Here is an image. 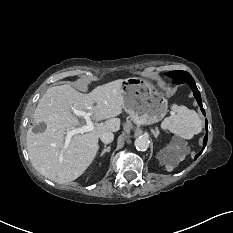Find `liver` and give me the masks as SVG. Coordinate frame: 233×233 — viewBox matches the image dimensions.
I'll list each match as a JSON object with an SVG mask.
<instances>
[{
	"label": "liver",
	"mask_w": 233,
	"mask_h": 233,
	"mask_svg": "<svg viewBox=\"0 0 233 233\" xmlns=\"http://www.w3.org/2000/svg\"><path fill=\"white\" fill-rule=\"evenodd\" d=\"M122 79L94 88L90 93H80L70 85L50 87L40 98L33 121L46 124L43 132L27 131V151L32 166L44 177L66 184L81 176L94 160L98 140L105 131L116 132L124 101ZM73 110L88 111L95 121L94 129L76 134L65 146L66 130L80 125ZM106 119V120H105ZM104 122L97 123L98 121Z\"/></svg>",
	"instance_id": "obj_1"
}]
</instances>
